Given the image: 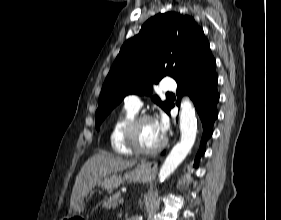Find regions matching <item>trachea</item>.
<instances>
[{"label": "trachea", "mask_w": 281, "mask_h": 220, "mask_svg": "<svg viewBox=\"0 0 281 220\" xmlns=\"http://www.w3.org/2000/svg\"><path fill=\"white\" fill-rule=\"evenodd\" d=\"M167 95H172V93H167Z\"/></svg>", "instance_id": "1"}]
</instances>
